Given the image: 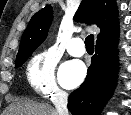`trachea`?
Segmentation results:
<instances>
[{"mask_svg": "<svg viewBox=\"0 0 131 115\" xmlns=\"http://www.w3.org/2000/svg\"><path fill=\"white\" fill-rule=\"evenodd\" d=\"M86 49L94 50V35L90 34L85 39Z\"/></svg>", "mask_w": 131, "mask_h": 115, "instance_id": "1", "label": "trachea"}]
</instances>
